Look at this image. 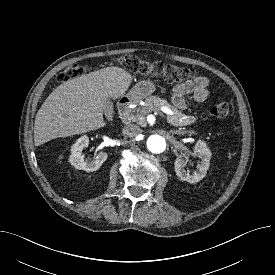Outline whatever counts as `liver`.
Returning a JSON list of instances; mask_svg holds the SVG:
<instances>
[{"mask_svg": "<svg viewBox=\"0 0 275 275\" xmlns=\"http://www.w3.org/2000/svg\"><path fill=\"white\" fill-rule=\"evenodd\" d=\"M131 82L130 73L112 66L59 85L36 114L35 145L104 127L105 101L122 97Z\"/></svg>", "mask_w": 275, "mask_h": 275, "instance_id": "obj_1", "label": "liver"}]
</instances>
